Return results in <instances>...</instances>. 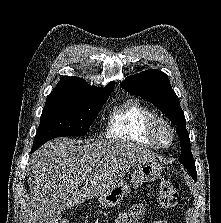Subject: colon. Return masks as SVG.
<instances>
[{
  "mask_svg": "<svg viewBox=\"0 0 221 223\" xmlns=\"http://www.w3.org/2000/svg\"><path fill=\"white\" fill-rule=\"evenodd\" d=\"M177 189L169 181H163L158 193L157 202L161 209L169 210L173 208L177 200ZM56 223H70L68 218L62 217Z\"/></svg>",
  "mask_w": 221,
  "mask_h": 223,
  "instance_id": "colon-1",
  "label": "colon"
}]
</instances>
